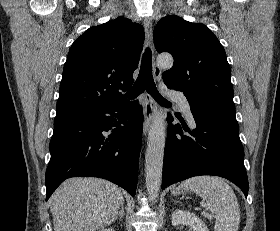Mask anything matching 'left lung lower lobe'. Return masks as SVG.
I'll use <instances>...</instances> for the list:
<instances>
[{
    "label": "left lung lower lobe",
    "mask_w": 280,
    "mask_h": 231,
    "mask_svg": "<svg viewBox=\"0 0 280 231\" xmlns=\"http://www.w3.org/2000/svg\"><path fill=\"white\" fill-rule=\"evenodd\" d=\"M190 107L196 129L191 132L182 124L188 132L184 134L180 124L168 128L162 189L190 177L215 175L232 181L247 197L248 178L235 113ZM167 120L172 122V116Z\"/></svg>",
    "instance_id": "obj_1"
}]
</instances>
